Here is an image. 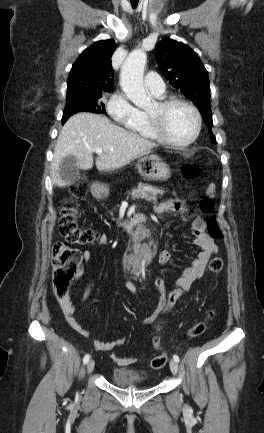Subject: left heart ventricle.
<instances>
[{
	"label": "left heart ventricle",
	"mask_w": 264,
	"mask_h": 433,
	"mask_svg": "<svg viewBox=\"0 0 264 433\" xmlns=\"http://www.w3.org/2000/svg\"><path fill=\"white\" fill-rule=\"evenodd\" d=\"M155 108L153 104L148 111ZM167 134L175 141H187L194 133L196 120L193 113L183 105H175L167 110L164 118Z\"/></svg>",
	"instance_id": "obj_1"
}]
</instances>
